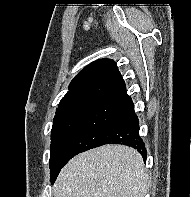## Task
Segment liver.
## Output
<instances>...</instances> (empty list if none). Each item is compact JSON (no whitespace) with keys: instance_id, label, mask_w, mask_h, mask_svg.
<instances>
[{"instance_id":"1","label":"liver","mask_w":191,"mask_h":197,"mask_svg":"<svg viewBox=\"0 0 191 197\" xmlns=\"http://www.w3.org/2000/svg\"><path fill=\"white\" fill-rule=\"evenodd\" d=\"M142 156L123 145H104L75 156L60 171L55 197H145Z\"/></svg>"}]
</instances>
